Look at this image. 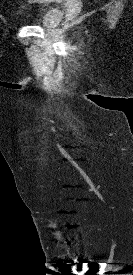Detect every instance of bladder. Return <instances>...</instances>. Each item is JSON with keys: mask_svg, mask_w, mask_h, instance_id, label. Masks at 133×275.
I'll return each mask as SVG.
<instances>
[{"mask_svg": "<svg viewBox=\"0 0 133 275\" xmlns=\"http://www.w3.org/2000/svg\"><path fill=\"white\" fill-rule=\"evenodd\" d=\"M64 15L63 12L56 7L48 8L39 20V26L44 28H54L59 25Z\"/></svg>", "mask_w": 133, "mask_h": 275, "instance_id": "1", "label": "bladder"}]
</instances>
